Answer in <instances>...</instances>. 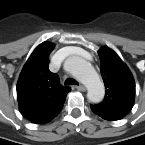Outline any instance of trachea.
Segmentation results:
<instances>
[{
	"instance_id": "trachea-1",
	"label": "trachea",
	"mask_w": 145,
	"mask_h": 145,
	"mask_svg": "<svg viewBox=\"0 0 145 145\" xmlns=\"http://www.w3.org/2000/svg\"><path fill=\"white\" fill-rule=\"evenodd\" d=\"M64 84L65 85H78V82L75 79L68 78V79H66Z\"/></svg>"
}]
</instances>
